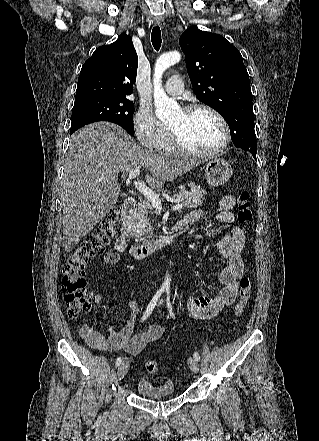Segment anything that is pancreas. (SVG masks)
<instances>
[{
	"mask_svg": "<svg viewBox=\"0 0 319 441\" xmlns=\"http://www.w3.org/2000/svg\"><path fill=\"white\" fill-rule=\"evenodd\" d=\"M191 191L181 190L173 196L174 202L181 203L185 208H197L202 205L206 191L201 186L191 182ZM153 209L149 200L143 201L133 210L127 227V235L132 239L142 238L152 232L151 220L147 217Z\"/></svg>",
	"mask_w": 319,
	"mask_h": 441,
	"instance_id": "obj_1",
	"label": "pancreas"
}]
</instances>
